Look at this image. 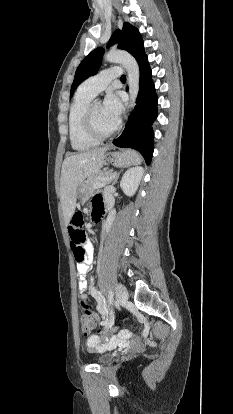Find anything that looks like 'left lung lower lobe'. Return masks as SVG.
Returning a JSON list of instances; mask_svg holds the SVG:
<instances>
[{
  "label": "left lung lower lobe",
  "mask_w": 233,
  "mask_h": 414,
  "mask_svg": "<svg viewBox=\"0 0 233 414\" xmlns=\"http://www.w3.org/2000/svg\"><path fill=\"white\" fill-rule=\"evenodd\" d=\"M140 88L137 97V105L129 117L125 130L113 144L122 148H132L139 151L144 157L146 164L151 163L154 150V132L151 127L156 120L157 95L154 83L151 79V69L147 57L139 63Z\"/></svg>",
  "instance_id": "left-lung-lower-lobe-1"
}]
</instances>
